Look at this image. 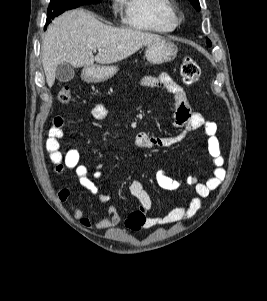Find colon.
Masks as SVG:
<instances>
[{"mask_svg":"<svg viewBox=\"0 0 267 301\" xmlns=\"http://www.w3.org/2000/svg\"><path fill=\"white\" fill-rule=\"evenodd\" d=\"M180 75L185 84L192 85L196 83L200 76V69L196 61L191 57H185L181 63ZM57 97L60 103H69L72 99L71 89L67 86L62 87Z\"/></svg>","mask_w":267,"mask_h":301,"instance_id":"1","label":"colon"}]
</instances>
